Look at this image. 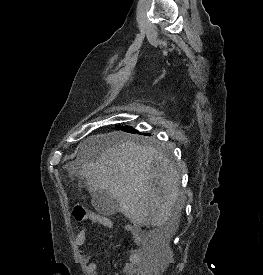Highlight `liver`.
I'll use <instances>...</instances> for the list:
<instances>
[{
    "label": "liver",
    "mask_w": 263,
    "mask_h": 275,
    "mask_svg": "<svg viewBox=\"0 0 263 275\" xmlns=\"http://www.w3.org/2000/svg\"><path fill=\"white\" fill-rule=\"evenodd\" d=\"M98 148L97 159L82 161L78 170L89 191H108L135 225L175 227L184 201L174 164L152 146L113 135L91 136L81 145L85 152Z\"/></svg>",
    "instance_id": "6515ba94"
}]
</instances>
